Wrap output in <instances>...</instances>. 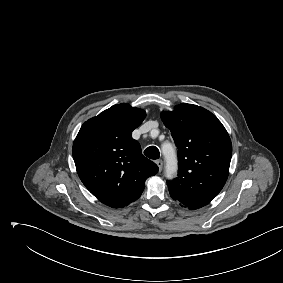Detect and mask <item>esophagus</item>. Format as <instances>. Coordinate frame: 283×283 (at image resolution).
<instances>
[{
  "label": "esophagus",
  "instance_id": "1",
  "mask_svg": "<svg viewBox=\"0 0 283 283\" xmlns=\"http://www.w3.org/2000/svg\"><path fill=\"white\" fill-rule=\"evenodd\" d=\"M156 164L159 168V171H161L162 167H163V161L161 159H158V160H156Z\"/></svg>",
  "mask_w": 283,
  "mask_h": 283
}]
</instances>
